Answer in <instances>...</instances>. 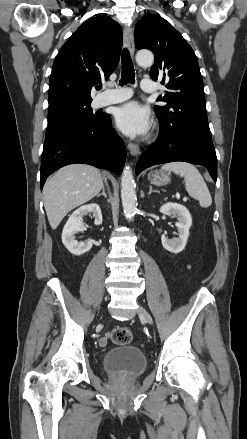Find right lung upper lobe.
<instances>
[{"instance_id":"cb5924a9","label":"right lung upper lobe","mask_w":247,"mask_h":439,"mask_svg":"<svg viewBox=\"0 0 247 439\" xmlns=\"http://www.w3.org/2000/svg\"><path fill=\"white\" fill-rule=\"evenodd\" d=\"M121 47L122 29L112 18L98 16L84 22L53 63L49 110L71 102L92 101V87L108 80L116 69Z\"/></svg>"}]
</instances>
